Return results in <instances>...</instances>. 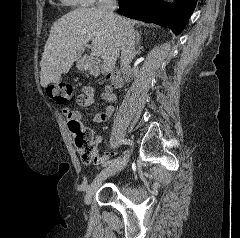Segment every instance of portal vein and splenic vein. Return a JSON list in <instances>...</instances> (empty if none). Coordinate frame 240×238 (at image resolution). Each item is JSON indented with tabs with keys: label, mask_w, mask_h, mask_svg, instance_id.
Masks as SVG:
<instances>
[{
	"label": "portal vein and splenic vein",
	"mask_w": 240,
	"mask_h": 238,
	"mask_svg": "<svg viewBox=\"0 0 240 238\" xmlns=\"http://www.w3.org/2000/svg\"><path fill=\"white\" fill-rule=\"evenodd\" d=\"M92 55H98V54L92 50ZM112 67H113V63L111 61H104V65H103L104 69H111Z\"/></svg>",
	"instance_id": "obj_1"
}]
</instances>
